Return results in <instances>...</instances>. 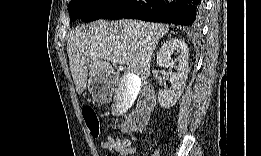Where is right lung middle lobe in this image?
<instances>
[{
  "instance_id": "obj_1",
  "label": "right lung middle lobe",
  "mask_w": 261,
  "mask_h": 156,
  "mask_svg": "<svg viewBox=\"0 0 261 156\" xmlns=\"http://www.w3.org/2000/svg\"><path fill=\"white\" fill-rule=\"evenodd\" d=\"M118 0H71L68 12L71 21L89 22L100 19Z\"/></svg>"
}]
</instances>
